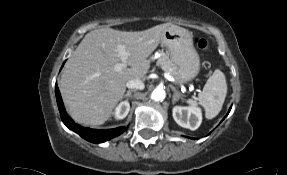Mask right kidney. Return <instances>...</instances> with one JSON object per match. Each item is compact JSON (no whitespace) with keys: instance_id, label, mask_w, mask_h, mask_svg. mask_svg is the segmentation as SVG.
Listing matches in <instances>:
<instances>
[{"instance_id":"right-kidney-1","label":"right kidney","mask_w":287,"mask_h":175,"mask_svg":"<svg viewBox=\"0 0 287 175\" xmlns=\"http://www.w3.org/2000/svg\"><path fill=\"white\" fill-rule=\"evenodd\" d=\"M130 110V104L128 101L121 102L115 109L114 116L116 119H124Z\"/></svg>"}]
</instances>
